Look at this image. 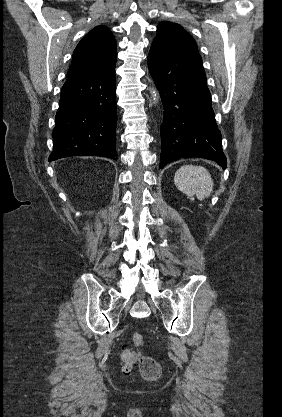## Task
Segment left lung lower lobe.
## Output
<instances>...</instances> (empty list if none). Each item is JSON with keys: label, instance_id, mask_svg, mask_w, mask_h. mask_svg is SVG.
I'll return each mask as SVG.
<instances>
[{"label": "left lung lower lobe", "instance_id": "obj_1", "mask_svg": "<svg viewBox=\"0 0 282 417\" xmlns=\"http://www.w3.org/2000/svg\"><path fill=\"white\" fill-rule=\"evenodd\" d=\"M147 61L164 107L160 169L189 157L210 159L225 169L222 136L200 54L152 44Z\"/></svg>", "mask_w": 282, "mask_h": 417}]
</instances>
